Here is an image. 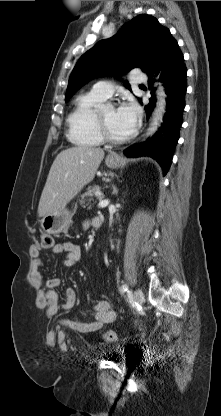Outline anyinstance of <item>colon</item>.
Here are the masks:
<instances>
[{
    "label": "colon",
    "mask_w": 221,
    "mask_h": 416,
    "mask_svg": "<svg viewBox=\"0 0 221 416\" xmlns=\"http://www.w3.org/2000/svg\"><path fill=\"white\" fill-rule=\"evenodd\" d=\"M40 245L42 248L50 249L54 246V238L50 234H42ZM103 338L108 342H113L116 340V333L111 330L106 331Z\"/></svg>",
    "instance_id": "colon-1"
}]
</instances>
